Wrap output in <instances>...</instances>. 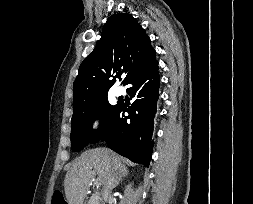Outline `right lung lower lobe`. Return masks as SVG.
Here are the masks:
<instances>
[{
	"label": "right lung lower lobe",
	"instance_id": "1",
	"mask_svg": "<svg viewBox=\"0 0 253 204\" xmlns=\"http://www.w3.org/2000/svg\"><path fill=\"white\" fill-rule=\"evenodd\" d=\"M124 85H130L127 91L130 93V98L135 100L128 108L126 103H118L100 140L105 141L120 155L148 167L152 154L153 119L160 85L154 49ZM125 112L129 113L126 117H124Z\"/></svg>",
	"mask_w": 253,
	"mask_h": 204
}]
</instances>
